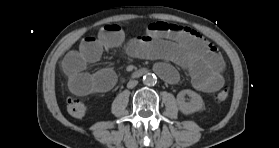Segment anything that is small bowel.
Here are the masks:
<instances>
[{
  "label": "small bowel",
  "instance_id": "c3829d8e",
  "mask_svg": "<svg viewBox=\"0 0 279 148\" xmlns=\"http://www.w3.org/2000/svg\"><path fill=\"white\" fill-rule=\"evenodd\" d=\"M125 46L135 58L157 60L155 72L168 83H176L179 75L170 64L184 69L195 88L215 92L224 84V62L218 49L196 30L173 23H151L145 33L125 43V35L117 24L105 25L96 36L86 37L79 47L62 60V70L69 89L76 95L107 92L116 84L117 76L110 68L95 74L86 72L88 64L98 61L111 48Z\"/></svg>",
  "mask_w": 279,
  "mask_h": 148
}]
</instances>
